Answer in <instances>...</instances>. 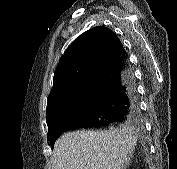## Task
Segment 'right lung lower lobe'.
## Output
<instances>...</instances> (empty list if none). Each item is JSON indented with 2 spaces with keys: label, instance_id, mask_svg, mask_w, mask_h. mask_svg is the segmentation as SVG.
<instances>
[{
  "label": "right lung lower lobe",
  "instance_id": "1",
  "mask_svg": "<svg viewBox=\"0 0 177 169\" xmlns=\"http://www.w3.org/2000/svg\"><path fill=\"white\" fill-rule=\"evenodd\" d=\"M93 86L88 105L77 114L64 120L50 139H56L68 130L83 127H108L113 123L135 121L140 117L135 77L126 52L90 80Z\"/></svg>",
  "mask_w": 177,
  "mask_h": 169
}]
</instances>
